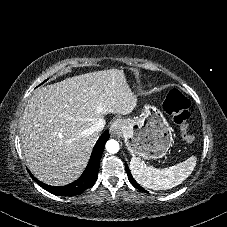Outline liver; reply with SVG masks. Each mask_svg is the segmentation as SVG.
Returning <instances> with one entry per match:
<instances>
[{
  "label": "liver",
  "instance_id": "1",
  "mask_svg": "<svg viewBox=\"0 0 227 227\" xmlns=\"http://www.w3.org/2000/svg\"><path fill=\"white\" fill-rule=\"evenodd\" d=\"M136 104L119 69L90 72L35 90L20 130L29 169L48 185L75 181L99 136L93 124L107 114H130Z\"/></svg>",
  "mask_w": 227,
  "mask_h": 227
}]
</instances>
